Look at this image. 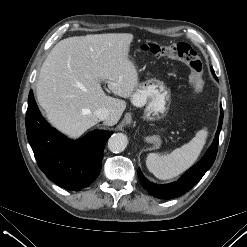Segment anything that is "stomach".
<instances>
[{"label":"stomach","mask_w":247,"mask_h":247,"mask_svg":"<svg viewBox=\"0 0 247 247\" xmlns=\"http://www.w3.org/2000/svg\"><path fill=\"white\" fill-rule=\"evenodd\" d=\"M134 106L144 107V117L147 120L164 118L171 104V93L163 81L156 78L148 79L138 84L131 96Z\"/></svg>","instance_id":"stomach-1"}]
</instances>
